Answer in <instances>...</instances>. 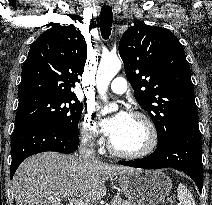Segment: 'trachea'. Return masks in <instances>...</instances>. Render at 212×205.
<instances>
[{"instance_id":"3493384b","label":"trachea","mask_w":212,"mask_h":205,"mask_svg":"<svg viewBox=\"0 0 212 205\" xmlns=\"http://www.w3.org/2000/svg\"><path fill=\"white\" fill-rule=\"evenodd\" d=\"M113 13L110 6H103L101 9L100 29L104 39H108L111 34Z\"/></svg>"}]
</instances>
